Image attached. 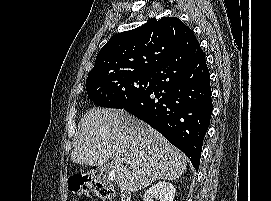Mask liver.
I'll return each instance as SVG.
<instances>
[{
	"label": "liver",
	"instance_id": "6515ba94",
	"mask_svg": "<svg viewBox=\"0 0 271 201\" xmlns=\"http://www.w3.org/2000/svg\"><path fill=\"white\" fill-rule=\"evenodd\" d=\"M114 160V180L124 191H138L157 180H176L187 157L159 132L121 109L93 108L82 124L71 152L77 164L101 166ZM123 158L131 164L124 166Z\"/></svg>",
	"mask_w": 271,
	"mask_h": 201
}]
</instances>
